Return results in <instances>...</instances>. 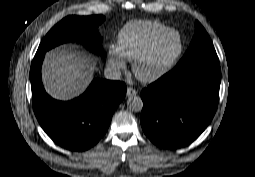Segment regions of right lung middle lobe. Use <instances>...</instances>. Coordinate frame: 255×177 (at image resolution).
Listing matches in <instances>:
<instances>
[{
  "mask_svg": "<svg viewBox=\"0 0 255 177\" xmlns=\"http://www.w3.org/2000/svg\"><path fill=\"white\" fill-rule=\"evenodd\" d=\"M105 20L102 15L68 16L56 24L42 40L37 54L67 41L79 40L94 53L101 50L102 38L98 33V26Z\"/></svg>",
  "mask_w": 255,
  "mask_h": 177,
  "instance_id": "right-lung-middle-lobe-1",
  "label": "right lung middle lobe"
}]
</instances>
